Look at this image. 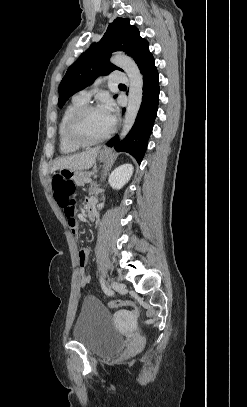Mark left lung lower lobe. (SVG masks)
<instances>
[{"mask_svg": "<svg viewBox=\"0 0 247 407\" xmlns=\"http://www.w3.org/2000/svg\"><path fill=\"white\" fill-rule=\"evenodd\" d=\"M137 65L143 75V97L135 123L122 142H119L116 135L107 142V146L112 147L114 145L117 151L128 152L138 162H141L157 115L159 76L155 67V60L150 52ZM124 111L125 109H123V113Z\"/></svg>", "mask_w": 247, "mask_h": 407, "instance_id": "obj_1", "label": "left lung lower lobe"}]
</instances>
